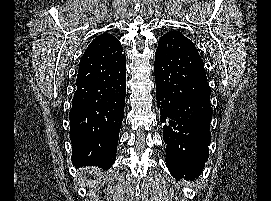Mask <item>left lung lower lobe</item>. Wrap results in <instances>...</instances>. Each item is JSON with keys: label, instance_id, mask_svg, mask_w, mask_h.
Masks as SVG:
<instances>
[{"label": "left lung lower lobe", "instance_id": "obj_1", "mask_svg": "<svg viewBox=\"0 0 271 201\" xmlns=\"http://www.w3.org/2000/svg\"><path fill=\"white\" fill-rule=\"evenodd\" d=\"M155 82L166 165L175 178H192L209 156L212 108L203 60L182 33L159 39Z\"/></svg>", "mask_w": 271, "mask_h": 201}]
</instances>
